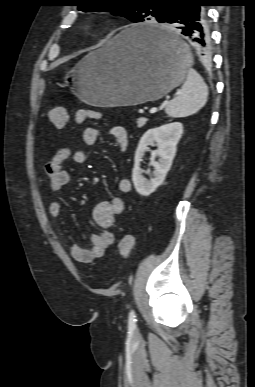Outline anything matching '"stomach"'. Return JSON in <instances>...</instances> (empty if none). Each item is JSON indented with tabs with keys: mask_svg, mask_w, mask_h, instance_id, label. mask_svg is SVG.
I'll list each match as a JSON object with an SVG mask.
<instances>
[{
	"mask_svg": "<svg viewBox=\"0 0 255 387\" xmlns=\"http://www.w3.org/2000/svg\"><path fill=\"white\" fill-rule=\"evenodd\" d=\"M151 30L164 29L146 22L120 31L67 72L66 84L80 100L99 107L132 106L162 98L183 83L192 57L175 32L169 31L180 50L169 54L145 39L144 32Z\"/></svg>",
	"mask_w": 255,
	"mask_h": 387,
	"instance_id": "0dacf381",
	"label": "stomach"
}]
</instances>
